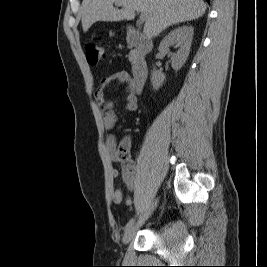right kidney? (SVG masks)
<instances>
[{"label": "right kidney", "instance_id": "ca27d5eb", "mask_svg": "<svg viewBox=\"0 0 267 267\" xmlns=\"http://www.w3.org/2000/svg\"><path fill=\"white\" fill-rule=\"evenodd\" d=\"M193 33L194 31L191 26H181L172 30L161 41L158 50L162 55L171 56V64L174 70H179L185 64L189 56ZM171 46L178 48L177 53H170ZM151 76L152 86L155 90H158L166 77L155 68Z\"/></svg>", "mask_w": 267, "mask_h": 267}]
</instances>
